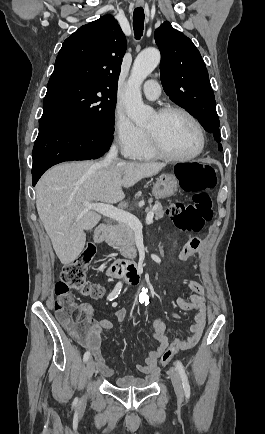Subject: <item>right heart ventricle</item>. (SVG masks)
Returning a JSON list of instances; mask_svg holds the SVG:
<instances>
[{"mask_svg": "<svg viewBox=\"0 0 265 434\" xmlns=\"http://www.w3.org/2000/svg\"><path fill=\"white\" fill-rule=\"evenodd\" d=\"M146 133V141L145 144L143 145V147H141L140 149H138V153L137 154H133L132 159L134 160H138V161H151V160H155L158 158V156L156 155V153L153 151L152 147H151V143H150V139L148 136V133Z\"/></svg>", "mask_w": 265, "mask_h": 434, "instance_id": "right-heart-ventricle-1", "label": "right heart ventricle"}]
</instances>
